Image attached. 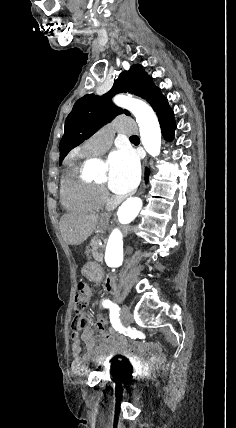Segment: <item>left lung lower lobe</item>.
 Wrapping results in <instances>:
<instances>
[{"mask_svg": "<svg viewBox=\"0 0 236 428\" xmlns=\"http://www.w3.org/2000/svg\"><path fill=\"white\" fill-rule=\"evenodd\" d=\"M160 127L162 130V134L167 141H171L174 137V131L176 129V123L174 119L173 110L167 104L163 106L159 111L156 112ZM149 170L145 172V180L148 179Z\"/></svg>", "mask_w": 236, "mask_h": 428, "instance_id": "1", "label": "left lung lower lobe"}]
</instances>
